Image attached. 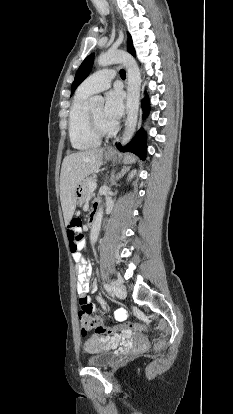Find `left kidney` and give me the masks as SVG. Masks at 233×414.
Instances as JSON below:
<instances>
[{
	"label": "left kidney",
	"mask_w": 233,
	"mask_h": 414,
	"mask_svg": "<svg viewBox=\"0 0 233 414\" xmlns=\"http://www.w3.org/2000/svg\"><path fill=\"white\" fill-rule=\"evenodd\" d=\"M135 173H136V170L131 171V173L129 174V179H131Z\"/></svg>",
	"instance_id": "1"
}]
</instances>
